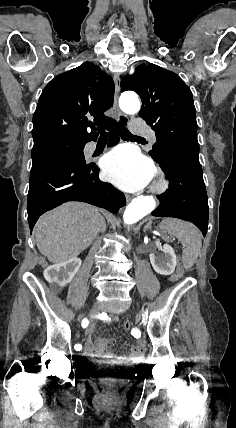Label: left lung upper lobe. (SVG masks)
<instances>
[{
    "mask_svg": "<svg viewBox=\"0 0 236 428\" xmlns=\"http://www.w3.org/2000/svg\"><path fill=\"white\" fill-rule=\"evenodd\" d=\"M121 89L141 97L139 116L155 132L157 141L149 154L156 162L162 165L165 159L176 158L200 164L193 96L177 74L152 63L141 64L122 79Z\"/></svg>",
    "mask_w": 236,
    "mask_h": 428,
    "instance_id": "obj_1",
    "label": "left lung upper lobe"
}]
</instances>
